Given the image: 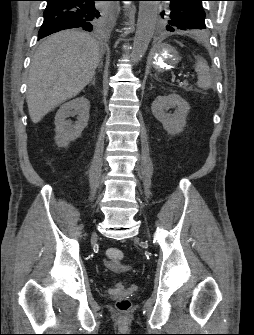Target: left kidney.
Instances as JSON below:
<instances>
[{
	"mask_svg": "<svg viewBox=\"0 0 254 335\" xmlns=\"http://www.w3.org/2000/svg\"><path fill=\"white\" fill-rule=\"evenodd\" d=\"M169 108H175L173 114L167 113ZM151 110L168 134L175 135L182 132L186 126L190 105L180 95L172 93L168 96H158L153 101Z\"/></svg>",
	"mask_w": 254,
	"mask_h": 335,
	"instance_id": "obj_1",
	"label": "left kidney"
}]
</instances>
